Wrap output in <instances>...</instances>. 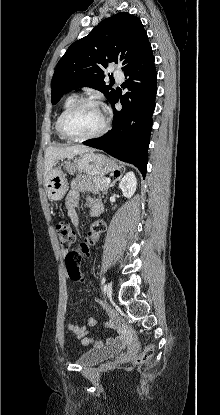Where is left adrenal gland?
<instances>
[{"label":"left adrenal gland","mask_w":220,"mask_h":415,"mask_svg":"<svg viewBox=\"0 0 220 415\" xmlns=\"http://www.w3.org/2000/svg\"><path fill=\"white\" fill-rule=\"evenodd\" d=\"M120 179V177L119 178H117V179H115L111 184H110V187H113L114 186V184L116 183V181H118Z\"/></svg>","instance_id":"1"}]
</instances>
